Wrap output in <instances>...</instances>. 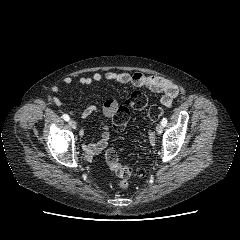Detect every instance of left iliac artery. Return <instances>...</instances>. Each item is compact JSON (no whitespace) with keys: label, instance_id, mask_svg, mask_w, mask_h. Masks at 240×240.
<instances>
[{"label":"left iliac artery","instance_id":"obj_1","mask_svg":"<svg viewBox=\"0 0 240 240\" xmlns=\"http://www.w3.org/2000/svg\"><path fill=\"white\" fill-rule=\"evenodd\" d=\"M161 124L163 126H166L167 125V118H163L162 121H161Z\"/></svg>","mask_w":240,"mask_h":240}]
</instances>
